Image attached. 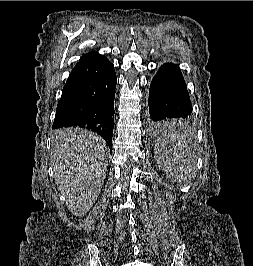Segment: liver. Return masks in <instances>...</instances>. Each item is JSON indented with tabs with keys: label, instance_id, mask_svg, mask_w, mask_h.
I'll return each mask as SVG.
<instances>
[{
	"label": "liver",
	"instance_id": "6515ba94",
	"mask_svg": "<svg viewBox=\"0 0 253 266\" xmlns=\"http://www.w3.org/2000/svg\"><path fill=\"white\" fill-rule=\"evenodd\" d=\"M108 153L104 139L86 129H60L52 136L50 156L55 182L73 215L86 214L98 198Z\"/></svg>",
	"mask_w": 253,
	"mask_h": 266
}]
</instances>
